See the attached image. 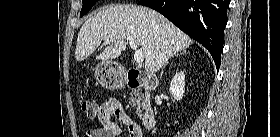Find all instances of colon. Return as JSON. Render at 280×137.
Returning a JSON list of instances; mask_svg holds the SVG:
<instances>
[{
	"label": "colon",
	"instance_id": "1",
	"mask_svg": "<svg viewBox=\"0 0 280 137\" xmlns=\"http://www.w3.org/2000/svg\"><path fill=\"white\" fill-rule=\"evenodd\" d=\"M81 109L89 118H95L99 112V106L97 102L93 100H83L81 102ZM132 136L141 137V132L134 129L132 131Z\"/></svg>",
	"mask_w": 280,
	"mask_h": 137
}]
</instances>
